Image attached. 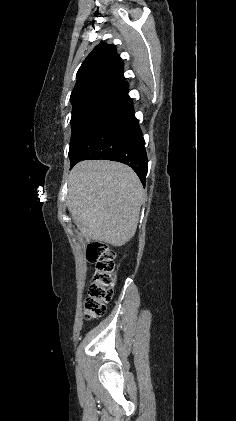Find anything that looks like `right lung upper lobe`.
<instances>
[{
	"mask_svg": "<svg viewBox=\"0 0 236 421\" xmlns=\"http://www.w3.org/2000/svg\"><path fill=\"white\" fill-rule=\"evenodd\" d=\"M125 83L123 62L113 45L100 43L86 57L77 72V81L71 97L85 91L122 86Z\"/></svg>",
	"mask_w": 236,
	"mask_h": 421,
	"instance_id": "right-lung-upper-lobe-1",
	"label": "right lung upper lobe"
}]
</instances>
